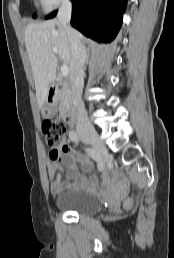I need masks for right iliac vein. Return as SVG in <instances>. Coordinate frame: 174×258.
<instances>
[{"label":"right iliac vein","instance_id":"right-iliac-vein-1","mask_svg":"<svg viewBox=\"0 0 174 258\" xmlns=\"http://www.w3.org/2000/svg\"><path fill=\"white\" fill-rule=\"evenodd\" d=\"M85 141L93 145L95 150L103 157L107 154V149L104 143L99 138L98 133L95 130H91L83 134Z\"/></svg>","mask_w":174,"mask_h":258}]
</instances>
